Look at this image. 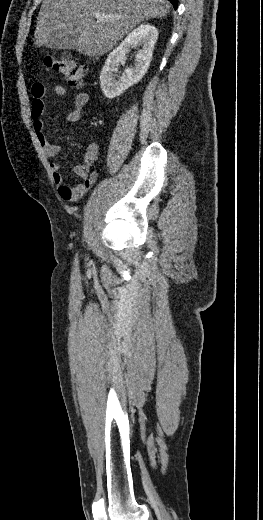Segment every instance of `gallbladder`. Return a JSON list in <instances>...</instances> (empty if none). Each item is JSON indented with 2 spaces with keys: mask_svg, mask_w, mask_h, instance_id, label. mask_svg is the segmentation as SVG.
Listing matches in <instances>:
<instances>
[{
  "mask_svg": "<svg viewBox=\"0 0 263 520\" xmlns=\"http://www.w3.org/2000/svg\"><path fill=\"white\" fill-rule=\"evenodd\" d=\"M78 37V33L72 34H62L60 32H55L52 36L49 37L48 46L53 49H63L70 50L73 49V41Z\"/></svg>",
  "mask_w": 263,
  "mask_h": 520,
  "instance_id": "bac80fb5",
  "label": "gallbladder"
}]
</instances>
